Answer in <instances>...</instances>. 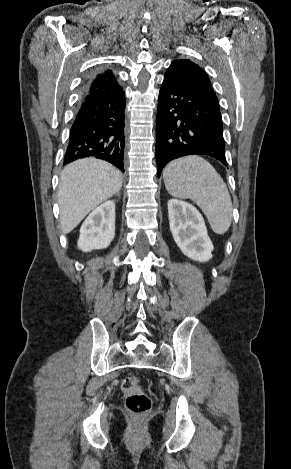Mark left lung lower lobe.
<instances>
[{
  "mask_svg": "<svg viewBox=\"0 0 291 469\" xmlns=\"http://www.w3.org/2000/svg\"><path fill=\"white\" fill-rule=\"evenodd\" d=\"M194 154L227 166L219 102L177 74L166 73L157 112L158 177L169 161Z\"/></svg>",
  "mask_w": 291,
  "mask_h": 469,
  "instance_id": "left-lung-lower-lobe-1",
  "label": "left lung lower lobe"
}]
</instances>
